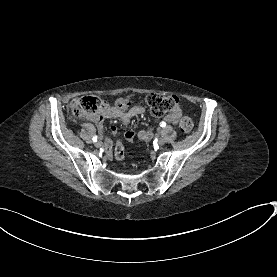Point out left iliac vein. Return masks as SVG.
<instances>
[{
    "instance_id": "1",
    "label": "left iliac vein",
    "mask_w": 277,
    "mask_h": 277,
    "mask_svg": "<svg viewBox=\"0 0 277 277\" xmlns=\"http://www.w3.org/2000/svg\"><path fill=\"white\" fill-rule=\"evenodd\" d=\"M165 144V139L164 138H159V140H158V145L159 146H163Z\"/></svg>"
}]
</instances>
